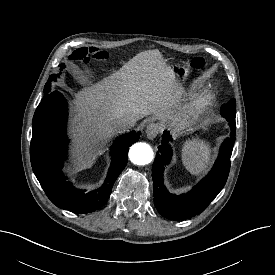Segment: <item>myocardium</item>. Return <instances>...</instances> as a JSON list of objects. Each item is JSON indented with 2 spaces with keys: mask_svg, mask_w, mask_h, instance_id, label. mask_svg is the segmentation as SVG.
Returning a JSON list of instances; mask_svg holds the SVG:
<instances>
[{
  "mask_svg": "<svg viewBox=\"0 0 275 275\" xmlns=\"http://www.w3.org/2000/svg\"><path fill=\"white\" fill-rule=\"evenodd\" d=\"M214 96L210 92L194 95L178 119V126L187 129L196 124L211 108Z\"/></svg>",
  "mask_w": 275,
  "mask_h": 275,
  "instance_id": "f54148a6",
  "label": "myocardium"
}]
</instances>
